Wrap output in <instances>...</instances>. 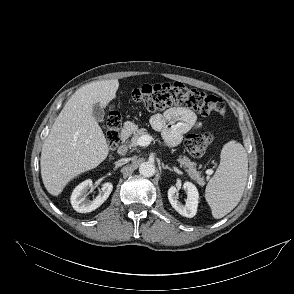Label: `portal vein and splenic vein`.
Wrapping results in <instances>:
<instances>
[{"label":"portal vein and splenic vein","instance_id":"obj_1","mask_svg":"<svg viewBox=\"0 0 294 294\" xmlns=\"http://www.w3.org/2000/svg\"><path fill=\"white\" fill-rule=\"evenodd\" d=\"M153 140V137L150 135H143L141 137L138 138L137 140V145L140 146H148L151 141Z\"/></svg>","mask_w":294,"mask_h":294}]
</instances>
